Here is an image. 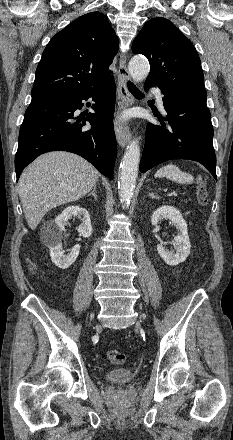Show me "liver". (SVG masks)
I'll return each mask as SVG.
<instances>
[{
    "instance_id": "liver-1",
    "label": "liver",
    "mask_w": 233,
    "mask_h": 440,
    "mask_svg": "<svg viewBox=\"0 0 233 440\" xmlns=\"http://www.w3.org/2000/svg\"><path fill=\"white\" fill-rule=\"evenodd\" d=\"M99 176L93 165L73 153L54 151L38 157L22 172L18 183L30 229H36L49 210L89 193Z\"/></svg>"
}]
</instances>
